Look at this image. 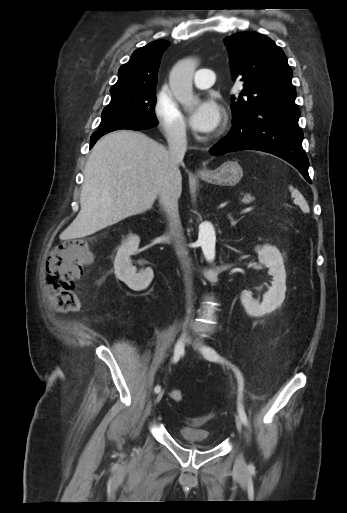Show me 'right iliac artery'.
I'll return each instance as SVG.
<instances>
[{
	"instance_id": "obj_1",
	"label": "right iliac artery",
	"mask_w": 347,
	"mask_h": 513,
	"mask_svg": "<svg viewBox=\"0 0 347 513\" xmlns=\"http://www.w3.org/2000/svg\"><path fill=\"white\" fill-rule=\"evenodd\" d=\"M184 353V344L182 341H178V343L175 345L174 355H173V362L176 363L179 361L181 355ZM155 393H159L161 391V387L157 385L154 388Z\"/></svg>"
}]
</instances>
